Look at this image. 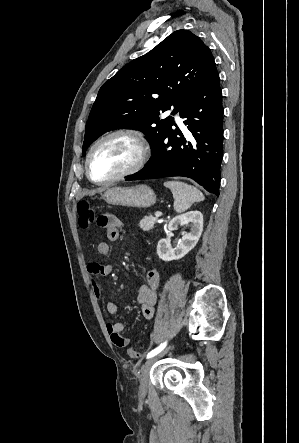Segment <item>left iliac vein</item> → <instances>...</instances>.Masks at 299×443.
<instances>
[{"label": "left iliac vein", "mask_w": 299, "mask_h": 443, "mask_svg": "<svg viewBox=\"0 0 299 443\" xmlns=\"http://www.w3.org/2000/svg\"><path fill=\"white\" fill-rule=\"evenodd\" d=\"M166 351L162 352L160 355L158 356H154L149 358L141 367V372H140V388H139V393L141 395H145L147 392V386H148V379H149V374H150V370L152 365L155 363V361L163 356L165 354Z\"/></svg>", "instance_id": "left-iliac-vein-1"}]
</instances>
